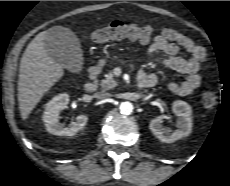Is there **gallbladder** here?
<instances>
[{"label":"gallbladder","mask_w":230,"mask_h":186,"mask_svg":"<svg viewBox=\"0 0 230 186\" xmlns=\"http://www.w3.org/2000/svg\"><path fill=\"white\" fill-rule=\"evenodd\" d=\"M45 47L50 56L71 72H79L83 57L77 36L68 28L57 26L50 28L46 35Z\"/></svg>","instance_id":"bac80fb5"}]
</instances>
